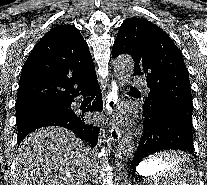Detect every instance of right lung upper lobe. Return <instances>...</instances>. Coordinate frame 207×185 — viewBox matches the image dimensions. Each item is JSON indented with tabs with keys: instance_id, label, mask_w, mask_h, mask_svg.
Returning a JSON list of instances; mask_svg holds the SVG:
<instances>
[{
	"instance_id": "right-lung-upper-lobe-1",
	"label": "right lung upper lobe",
	"mask_w": 207,
	"mask_h": 185,
	"mask_svg": "<svg viewBox=\"0 0 207 185\" xmlns=\"http://www.w3.org/2000/svg\"><path fill=\"white\" fill-rule=\"evenodd\" d=\"M97 78L89 47L70 24L52 28L26 60L16 112L62 103L74 89Z\"/></svg>"
}]
</instances>
